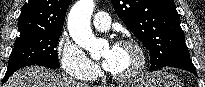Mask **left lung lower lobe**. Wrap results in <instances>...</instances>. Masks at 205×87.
I'll return each instance as SVG.
<instances>
[{
    "label": "left lung lower lobe",
    "mask_w": 205,
    "mask_h": 87,
    "mask_svg": "<svg viewBox=\"0 0 205 87\" xmlns=\"http://www.w3.org/2000/svg\"><path fill=\"white\" fill-rule=\"evenodd\" d=\"M168 66L189 71L197 76L195 67H194L192 61L190 60V58H182V59L176 60V61L170 63Z\"/></svg>",
    "instance_id": "left-lung-lower-lobe-1"
}]
</instances>
